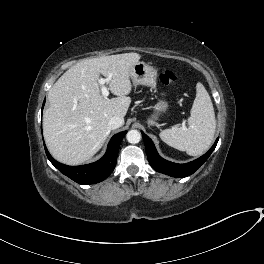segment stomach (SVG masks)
Returning a JSON list of instances; mask_svg holds the SVG:
<instances>
[{
  "instance_id": "1",
  "label": "stomach",
  "mask_w": 264,
  "mask_h": 264,
  "mask_svg": "<svg viewBox=\"0 0 264 264\" xmlns=\"http://www.w3.org/2000/svg\"><path fill=\"white\" fill-rule=\"evenodd\" d=\"M130 77L136 85L140 84L148 86L151 89H156L157 69L143 61L137 62L131 67ZM162 95H164V93H162ZM168 107V102L164 98L159 99L153 107V114L147 120L148 125H156V121L168 110Z\"/></svg>"
}]
</instances>
